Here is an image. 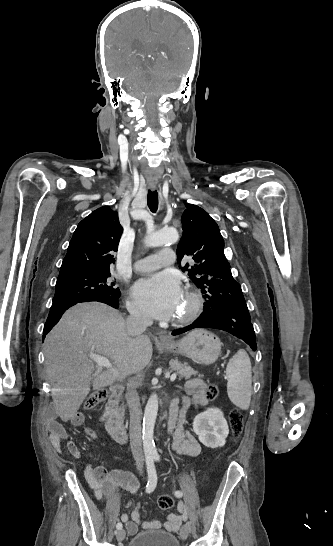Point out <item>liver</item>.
<instances>
[{
	"mask_svg": "<svg viewBox=\"0 0 333 546\" xmlns=\"http://www.w3.org/2000/svg\"><path fill=\"white\" fill-rule=\"evenodd\" d=\"M90 354L109 358L115 371L95 373ZM44 356L54 407L66 422L76 415L91 385L102 388L141 372L152 358V344L147 335L129 333L115 309L81 303L68 309L47 335Z\"/></svg>",
	"mask_w": 333,
	"mask_h": 546,
	"instance_id": "obj_1",
	"label": "liver"
}]
</instances>
